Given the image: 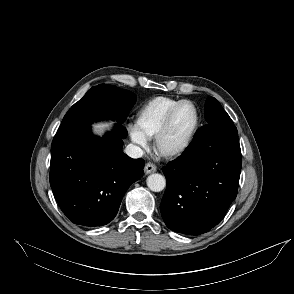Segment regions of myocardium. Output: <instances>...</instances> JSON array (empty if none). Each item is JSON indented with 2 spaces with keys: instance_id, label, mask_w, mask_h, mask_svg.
<instances>
[{
  "instance_id": "myocardium-1",
  "label": "myocardium",
  "mask_w": 294,
  "mask_h": 294,
  "mask_svg": "<svg viewBox=\"0 0 294 294\" xmlns=\"http://www.w3.org/2000/svg\"><path fill=\"white\" fill-rule=\"evenodd\" d=\"M184 104H191L194 107L195 112H196L195 124H194L189 136L187 137V139L185 140V142L182 145H180L179 147L174 148V149L165 150L162 148L163 139L165 138L167 132L169 131L176 113ZM200 124H201V113H200V110H199L197 104L191 100H187V99L181 100L169 111V113L165 117L163 123L161 124L160 128L158 129V131L154 137V150H155V152L160 157L165 158V159H174V158L180 157L190 148V146L193 143V141L196 137V134L200 128Z\"/></svg>"
}]
</instances>
